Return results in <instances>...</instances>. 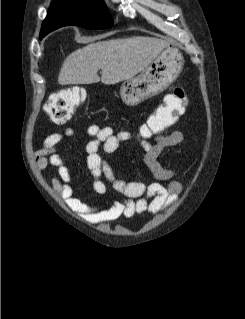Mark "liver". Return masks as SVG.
I'll return each mask as SVG.
<instances>
[{
  "label": "liver",
  "instance_id": "1",
  "mask_svg": "<svg viewBox=\"0 0 245 319\" xmlns=\"http://www.w3.org/2000/svg\"><path fill=\"white\" fill-rule=\"evenodd\" d=\"M169 45L153 37H129L89 44L63 62L58 83L113 85L143 71ZM101 69L102 76H98Z\"/></svg>",
  "mask_w": 245,
  "mask_h": 319
}]
</instances>
